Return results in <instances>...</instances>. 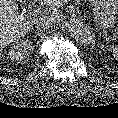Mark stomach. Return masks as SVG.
<instances>
[{
	"mask_svg": "<svg viewBox=\"0 0 118 118\" xmlns=\"http://www.w3.org/2000/svg\"><path fill=\"white\" fill-rule=\"evenodd\" d=\"M94 24L104 32L114 27L118 14V0H93Z\"/></svg>",
	"mask_w": 118,
	"mask_h": 118,
	"instance_id": "stomach-1",
	"label": "stomach"
}]
</instances>
